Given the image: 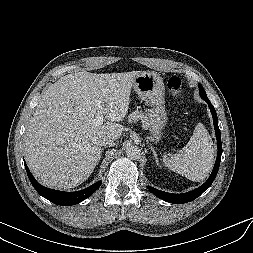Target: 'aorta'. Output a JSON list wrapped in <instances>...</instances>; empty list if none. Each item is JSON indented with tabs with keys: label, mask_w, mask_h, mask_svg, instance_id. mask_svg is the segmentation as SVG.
Here are the masks:
<instances>
[{
	"label": "aorta",
	"mask_w": 253,
	"mask_h": 253,
	"mask_svg": "<svg viewBox=\"0 0 253 253\" xmlns=\"http://www.w3.org/2000/svg\"><path fill=\"white\" fill-rule=\"evenodd\" d=\"M126 155L129 159L137 160L140 158L141 150L137 146H129L126 149Z\"/></svg>",
	"instance_id": "1"
}]
</instances>
